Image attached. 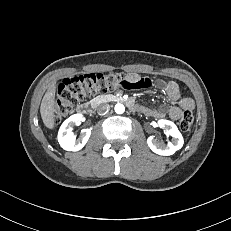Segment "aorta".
I'll list each match as a JSON object with an SVG mask.
<instances>
[{
	"label": "aorta",
	"instance_id": "aorta-1",
	"mask_svg": "<svg viewBox=\"0 0 231 231\" xmlns=\"http://www.w3.org/2000/svg\"><path fill=\"white\" fill-rule=\"evenodd\" d=\"M124 111H125V107H124L123 104L117 103V104L115 105V112H116L117 114H123Z\"/></svg>",
	"mask_w": 231,
	"mask_h": 231
}]
</instances>
